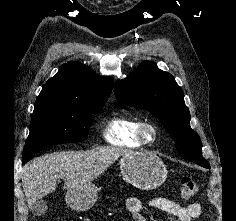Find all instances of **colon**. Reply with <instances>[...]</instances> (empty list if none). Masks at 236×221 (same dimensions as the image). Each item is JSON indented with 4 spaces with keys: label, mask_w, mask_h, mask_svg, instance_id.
I'll list each match as a JSON object with an SVG mask.
<instances>
[{
    "label": "colon",
    "mask_w": 236,
    "mask_h": 221,
    "mask_svg": "<svg viewBox=\"0 0 236 221\" xmlns=\"http://www.w3.org/2000/svg\"><path fill=\"white\" fill-rule=\"evenodd\" d=\"M180 193L182 198L191 199L197 196L199 192L198 185L191 177H182L179 182Z\"/></svg>",
    "instance_id": "colon-1"
}]
</instances>
